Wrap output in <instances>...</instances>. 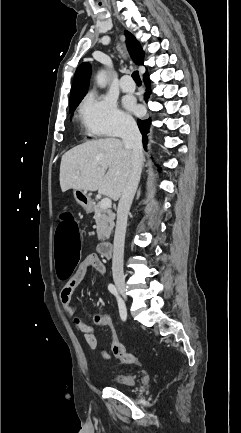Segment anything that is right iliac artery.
Returning a JSON list of instances; mask_svg holds the SVG:
<instances>
[{
	"mask_svg": "<svg viewBox=\"0 0 241 433\" xmlns=\"http://www.w3.org/2000/svg\"><path fill=\"white\" fill-rule=\"evenodd\" d=\"M108 290L117 298L121 319L126 320L127 311H126V308H125L123 301L121 300V298L118 294L116 287L113 284H109Z\"/></svg>",
	"mask_w": 241,
	"mask_h": 433,
	"instance_id": "right-iliac-artery-1",
	"label": "right iliac artery"
}]
</instances>
